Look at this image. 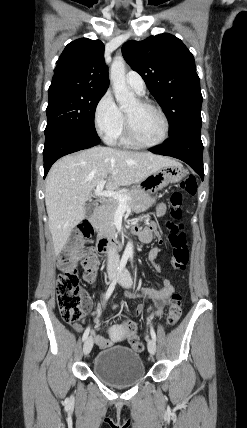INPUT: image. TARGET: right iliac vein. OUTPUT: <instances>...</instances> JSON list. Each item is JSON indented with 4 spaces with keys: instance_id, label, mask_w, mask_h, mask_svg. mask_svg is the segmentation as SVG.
Returning a JSON list of instances; mask_svg holds the SVG:
<instances>
[{
    "instance_id": "right-iliac-vein-1",
    "label": "right iliac vein",
    "mask_w": 247,
    "mask_h": 428,
    "mask_svg": "<svg viewBox=\"0 0 247 428\" xmlns=\"http://www.w3.org/2000/svg\"><path fill=\"white\" fill-rule=\"evenodd\" d=\"M114 276H115V271H111L109 273V278L113 279ZM92 347H93V338L90 336L85 340L84 345H83L84 355H88L91 352Z\"/></svg>"
}]
</instances>
